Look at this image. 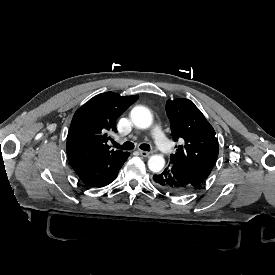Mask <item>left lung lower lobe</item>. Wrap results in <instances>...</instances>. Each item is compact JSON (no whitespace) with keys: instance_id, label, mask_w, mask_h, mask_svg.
Returning <instances> with one entry per match:
<instances>
[{"instance_id":"obj_1","label":"left lung lower lobe","mask_w":275,"mask_h":275,"mask_svg":"<svg viewBox=\"0 0 275 275\" xmlns=\"http://www.w3.org/2000/svg\"><path fill=\"white\" fill-rule=\"evenodd\" d=\"M157 188L171 195H186L195 190L190 182L172 166H168L161 174L154 175Z\"/></svg>"}]
</instances>
